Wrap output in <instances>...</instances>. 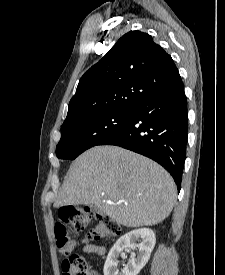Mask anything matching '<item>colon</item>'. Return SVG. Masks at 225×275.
<instances>
[{"label":"colon","mask_w":225,"mask_h":275,"mask_svg":"<svg viewBox=\"0 0 225 275\" xmlns=\"http://www.w3.org/2000/svg\"><path fill=\"white\" fill-rule=\"evenodd\" d=\"M60 222L54 227L56 245L60 253H70L74 246V240L67 232V226L75 231H81L89 225H93L88 233V239L115 236L120 233V228L112 219L102 216L92 210L81 208H62L59 212ZM62 275H89L88 263L79 254H72L62 262Z\"/></svg>","instance_id":"1"}]
</instances>
